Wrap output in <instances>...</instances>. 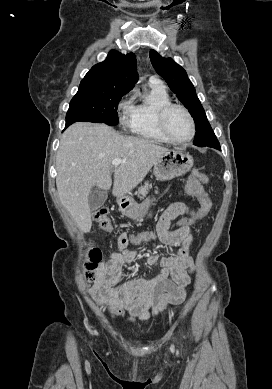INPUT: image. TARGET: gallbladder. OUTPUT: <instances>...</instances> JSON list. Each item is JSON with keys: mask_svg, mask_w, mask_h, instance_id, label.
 Wrapping results in <instances>:
<instances>
[{"mask_svg": "<svg viewBox=\"0 0 272 389\" xmlns=\"http://www.w3.org/2000/svg\"><path fill=\"white\" fill-rule=\"evenodd\" d=\"M108 194L106 191L93 189L88 198V204L91 211H97L107 200Z\"/></svg>", "mask_w": 272, "mask_h": 389, "instance_id": "1", "label": "gallbladder"}]
</instances>
